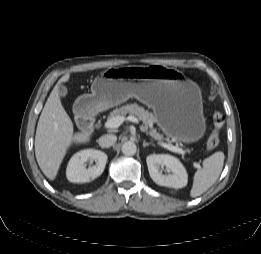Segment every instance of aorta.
Segmentation results:
<instances>
[{
  "label": "aorta",
  "mask_w": 261,
  "mask_h": 254,
  "mask_svg": "<svg viewBox=\"0 0 261 254\" xmlns=\"http://www.w3.org/2000/svg\"><path fill=\"white\" fill-rule=\"evenodd\" d=\"M122 153L124 155H127V156H132L136 153L137 151V146L135 143L131 142V141H128V142H125L123 145H122Z\"/></svg>",
  "instance_id": "obj_1"
}]
</instances>
